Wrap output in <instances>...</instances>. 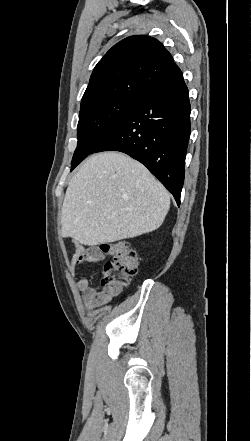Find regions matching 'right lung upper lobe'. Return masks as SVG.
Masks as SVG:
<instances>
[{
	"mask_svg": "<svg viewBox=\"0 0 251 441\" xmlns=\"http://www.w3.org/2000/svg\"><path fill=\"white\" fill-rule=\"evenodd\" d=\"M179 71L171 54L155 38L127 37L114 45L95 66L80 108L110 97L142 96Z\"/></svg>",
	"mask_w": 251,
	"mask_h": 441,
	"instance_id": "cb5924a9",
	"label": "right lung upper lobe"
}]
</instances>
